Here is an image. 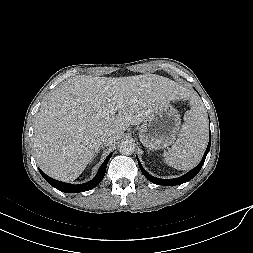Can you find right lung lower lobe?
Returning a JSON list of instances; mask_svg holds the SVG:
<instances>
[{
    "label": "right lung lower lobe",
    "mask_w": 253,
    "mask_h": 253,
    "mask_svg": "<svg viewBox=\"0 0 253 253\" xmlns=\"http://www.w3.org/2000/svg\"><path fill=\"white\" fill-rule=\"evenodd\" d=\"M111 156H112V153L109 154L108 157L105 159V161L102 163L97 175L91 181L84 183V184L72 185V184L64 183V182L55 180L53 178H50L44 172H42L40 169H39V171H40L41 175L43 176V178L51 186H53L54 188H56L62 192H66V193L84 192V191L91 190L92 188L96 187L101 182V180L103 179V177L105 175L107 163H108Z\"/></svg>",
    "instance_id": "98d812e1"
}]
</instances>
